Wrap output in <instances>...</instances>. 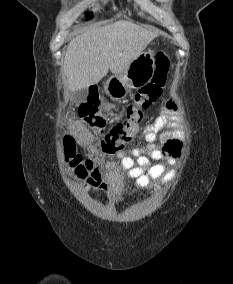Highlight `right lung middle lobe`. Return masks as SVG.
I'll return each mask as SVG.
<instances>
[{"instance_id":"obj_1","label":"right lung middle lobe","mask_w":233,"mask_h":284,"mask_svg":"<svg viewBox=\"0 0 233 284\" xmlns=\"http://www.w3.org/2000/svg\"><path fill=\"white\" fill-rule=\"evenodd\" d=\"M93 16L89 14V19L92 18Z\"/></svg>"}]
</instances>
